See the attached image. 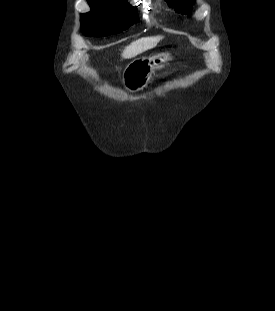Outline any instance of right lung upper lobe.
Returning a JSON list of instances; mask_svg holds the SVG:
<instances>
[{
    "label": "right lung upper lobe",
    "instance_id": "right-lung-upper-lobe-1",
    "mask_svg": "<svg viewBox=\"0 0 275 311\" xmlns=\"http://www.w3.org/2000/svg\"><path fill=\"white\" fill-rule=\"evenodd\" d=\"M89 5L94 4H120L126 3L127 0H87Z\"/></svg>",
    "mask_w": 275,
    "mask_h": 311
}]
</instances>
